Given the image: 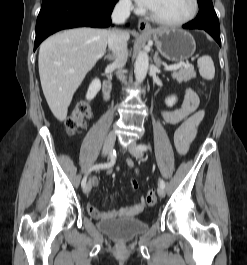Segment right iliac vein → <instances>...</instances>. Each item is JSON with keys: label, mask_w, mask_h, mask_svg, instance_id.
<instances>
[{"label": "right iliac vein", "mask_w": 247, "mask_h": 265, "mask_svg": "<svg viewBox=\"0 0 247 265\" xmlns=\"http://www.w3.org/2000/svg\"><path fill=\"white\" fill-rule=\"evenodd\" d=\"M116 140V134L114 131L109 132V134L107 135L106 139H105V143L103 146V151H102V155L105 157L107 155H109V153L112 150V147L115 143ZM91 190V182H88L87 185L84 187L83 191L85 194H88Z\"/></svg>", "instance_id": "obj_1"}]
</instances>
